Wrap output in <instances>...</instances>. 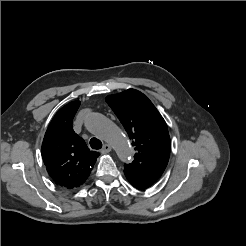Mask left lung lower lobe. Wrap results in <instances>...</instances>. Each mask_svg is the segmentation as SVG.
I'll return each instance as SVG.
<instances>
[{"label":"left lung lower lobe","mask_w":246,"mask_h":246,"mask_svg":"<svg viewBox=\"0 0 246 246\" xmlns=\"http://www.w3.org/2000/svg\"><path fill=\"white\" fill-rule=\"evenodd\" d=\"M124 173L132 186L139 190H145L152 186L155 182L135 173L130 170L124 169Z\"/></svg>","instance_id":"obj_1"}]
</instances>
